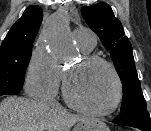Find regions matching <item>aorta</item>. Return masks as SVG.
I'll use <instances>...</instances> for the list:
<instances>
[{"instance_id":"aorta-1","label":"aorta","mask_w":151,"mask_h":131,"mask_svg":"<svg viewBox=\"0 0 151 131\" xmlns=\"http://www.w3.org/2000/svg\"><path fill=\"white\" fill-rule=\"evenodd\" d=\"M44 39L46 44L53 48L54 56L58 61H69L76 56L65 15H57L50 20L45 29Z\"/></svg>"}]
</instances>
